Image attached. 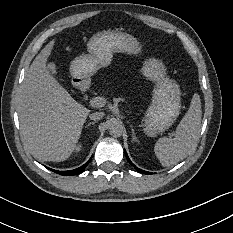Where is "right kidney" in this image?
I'll use <instances>...</instances> for the list:
<instances>
[{"mask_svg":"<svg viewBox=\"0 0 233 233\" xmlns=\"http://www.w3.org/2000/svg\"><path fill=\"white\" fill-rule=\"evenodd\" d=\"M87 143V140H81L72 147V152L74 154H79L82 152L84 145Z\"/></svg>","mask_w":233,"mask_h":233,"instance_id":"1","label":"right kidney"}]
</instances>
